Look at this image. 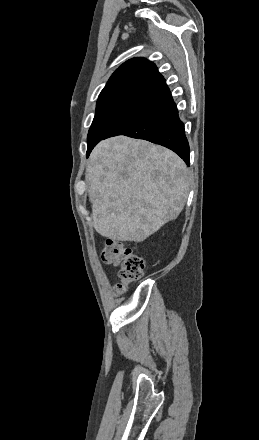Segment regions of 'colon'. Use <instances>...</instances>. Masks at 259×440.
Segmentation results:
<instances>
[{"mask_svg": "<svg viewBox=\"0 0 259 440\" xmlns=\"http://www.w3.org/2000/svg\"><path fill=\"white\" fill-rule=\"evenodd\" d=\"M102 260L107 264H113L119 267V283L116 284V290L122 293L127 286L142 278L145 271V261L138 255L133 248L124 243L107 239L102 250Z\"/></svg>", "mask_w": 259, "mask_h": 440, "instance_id": "5ec220e1", "label": "colon"}]
</instances>
